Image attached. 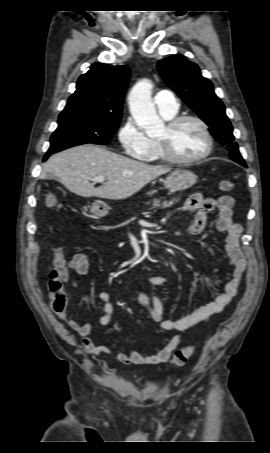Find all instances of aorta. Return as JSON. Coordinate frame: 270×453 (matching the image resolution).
<instances>
[{"label": "aorta", "mask_w": 270, "mask_h": 453, "mask_svg": "<svg viewBox=\"0 0 270 453\" xmlns=\"http://www.w3.org/2000/svg\"><path fill=\"white\" fill-rule=\"evenodd\" d=\"M152 87L151 81L143 79L133 86L128 96L130 112L148 136L160 134L164 129V123L152 102Z\"/></svg>", "instance_id": "obj_1"}]
</instances>
